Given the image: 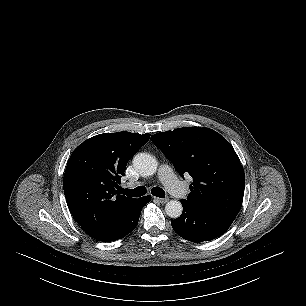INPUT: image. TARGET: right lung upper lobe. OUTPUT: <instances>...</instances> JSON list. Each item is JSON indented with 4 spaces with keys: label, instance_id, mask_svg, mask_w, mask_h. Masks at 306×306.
<instances>
[{
    "label": "right lung upper lobe",
    "instance_id": "1",
    "mask_svg": "<svg viewBox=\"0 0 306 306\" xmlns=\"http://www.w3.org/2000/svg\"><path fill=\"white\" fill-rule=\"evenodd\" d=\"M150 134H99L85 140L71 154L63 186L67 205L82 229L98 239L121 221L136 200L118 193L127 162Z\"/></svg>",
    "mask_w": 306,
    "mask_h": 306
}]
</instances>
